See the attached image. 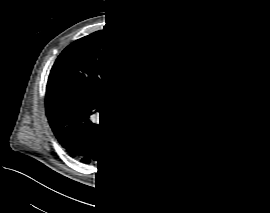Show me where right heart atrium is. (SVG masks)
Returning a JSON list of instances; mask_svg holds the SVG:
<instances>
[{
  "instance_id": "right-heart-atrium-1",
  "label": "right heart atrium",
  "mask_w": 270,
  "mask_h": 213,
  "mask_svg": "<svg viewBox=\"0 0 270 213\" xmlns=\"http://www.w3.org/2000/svg\"><path fill=\"white\" fill-rule=\"evenodd\" d=\"M125 68H126V70H129V69H130V67H129L128 65H126V67H125Z\"/></svg>"
}]
</instances>
